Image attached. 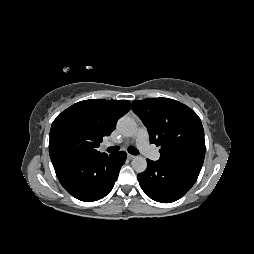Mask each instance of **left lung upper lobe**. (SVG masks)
<instances>
[{"label": "left lung upper lobe", "mask_w": 254, "mask_h": 254, "mask_svg": "<svg viewBox=\"0 0 254 254\" xmlns=\"http://www.w3.org/2000/svg\"><path fill=\"white\" fill-rule=\"evenodd\" d=\"M132 110L147 127L150 143L161 147L160 163L201 170L204 130L192 109L169 98H147L133 101Z\"/></svg>", "instance_id": "1"}]
</instances>
